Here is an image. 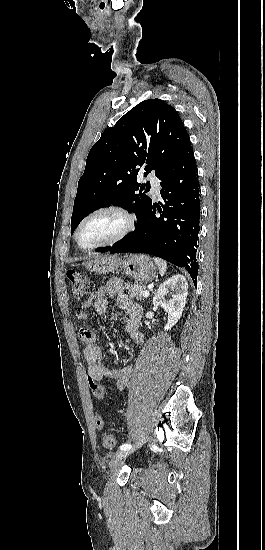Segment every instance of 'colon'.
I'll list each match as a JSON object with an SVG mask.
<instances>
[{
    "label": "colon",
    "mask_w": 265,
    "mask_h": 550,
    "mask_svg": "<svg viewBox=\"0 0 265 550\" xmlns=\"http://www.w3.org/2000/svg\"><path fill=\"white\" fill-rule=\"evenodd\" d=\"M67 280L69 283L71 295L75 298H81L93 291V282L86 275L78 270L68 271ZM88 383L92 393L96 395L97 399H103L104 395L98 383L92 379H88ZM95 421L98 428L103 427V419L100 416H97ZM102 442L105 448L111 449L115 446V438L112 434L109 433L104 434Z\"/></svg>",
    "instance_id": "obj_1"
}]
</instances>
